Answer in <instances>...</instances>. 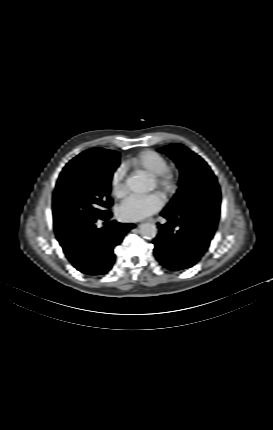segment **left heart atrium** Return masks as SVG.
Masks as SVG:
<instances>
[{
	"mask_svg": "<svg viewBox=\"0 0 273 430\" xmlns=\"http://www.w3.org/2000/svg\"><path fill=\"white\" fill-rule=\"evenodd\" d=\"M164 205V199L159 193L145 196H130L126 198L117 210L118 217L123 221H138L159 211Z\"/></svg>",
	"mask_w": 273,
	"mask_h": 430,
	"instance_id": "39dd6f15",
	"label": "left heart atrium"
}]
</instances>
